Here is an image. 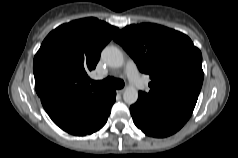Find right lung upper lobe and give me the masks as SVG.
<instances>
[{
    "label": "right lung upper lobe",
    "mask_w": 238,
    "mask_h": 158,
    "mask_svg": "<svg viewBox=\"0 0 238 158\" xmlns=\"http://www.w3.org/2000/svg\"><path fill=\"white\" fill-rule=\"evenodd\" d=\"M118 30L91 17L50 32L33 61L38 96L90 95L108 90L95 86L88 73L95 69L102 49Z\"/></svg>",
    "instance_id": "obj_1"
}]
</instances>
